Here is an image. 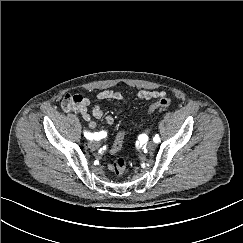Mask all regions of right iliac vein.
<instances>
[{
	"label": "right iliac vein",
	"mask_w": 243,
	"mask_h": 243,
	"mask_svg": "<svg viewBox=\"0 0 243 243\" xmlns=\"http://www.w3.org/2000/svg\"><path fill=\"white\" fill-rule=\"evenodd\" d=\"M88 146L90 149L95 150L99 147V143L97 141L92 140L88 143Z\"/></svg>",
	"instance_id": "right-iliac-vein-1"
}]
</instances>
